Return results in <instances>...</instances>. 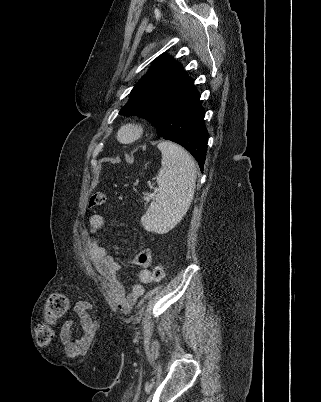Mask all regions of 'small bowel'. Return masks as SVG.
<instances>
[{"label": "small bowel", "instance_id": "c3829d8e", "mask_svg": "<svg viewBox=\"0 0 321 402\" xmlns=\"http://www.w3.org/2000/svg\"><path fill=\"white\" fill-rule=\"evenodd\" d=\"M105 218L103 215L94 213L89 218V246L90 254L95 263L98 272L108 282L111 294L121 311L128 314L135 303L144 293V286L152 282L151 273L148 267L152 261V254L149 249L142 250L136 254L132 263L140 268L138 273L139 282L131 287L130 292L125 291L122 281L118 277L121 267L120 261L115 255L108 254L103 245L102 238L98 235L99 230L103 227ZM94 304L92 302H81L77 304L75 314L82 324V330L79 331L80 340H71L69 330L74 327L72 320H63L61 322V340L65 346L67 353L75 358H82L87 353L88 347L91 346V337L95 333L97 327L96 320H92V311Z\"/></svg>", "mask_w": 321, "mask_h": 402}]
</instances>
